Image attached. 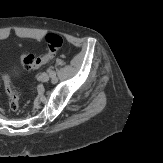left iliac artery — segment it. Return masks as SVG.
<instances>
[{
  "mask_svg": "<svg viewBox=\"0 0 163 163\" xmlns=\"http://www.w3.org/2000/svg\"><path fill=\"white\" fill-rule=\"evenodd\" d=\"M48 72H49V75H50L51 78L54 79L56 77V73H55V71L53 70L52 67H49Z\"/></svg>",
  "mask_w": 163,
  "mask_h": 163,
  "instance_id": "1",
  "label": "left iliac artery"
}]
</instances>
